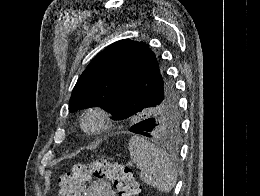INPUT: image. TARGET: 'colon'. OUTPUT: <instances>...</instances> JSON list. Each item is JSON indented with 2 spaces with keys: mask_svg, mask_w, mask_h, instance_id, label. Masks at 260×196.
Returning <instances> with one entry per match:
<instances>
[{
  "mask_svg": "<svg viewBox=\"0 0 260 196\" xmlns=\"http://www.w3.org/2000/svg\"><path fill=\"white\" fill-rule=\"evenodd\" d=\"M131 176V169L119 161L95 160L79 164L58 178L57 195L81 196L87 184L106 181L118 192H133L136 184Z\"/></svg>",
  "mask_w": 260,
  "mask_h": 196,
  "instance_id": "1",
  "label": "colon"
}]
</instances>
